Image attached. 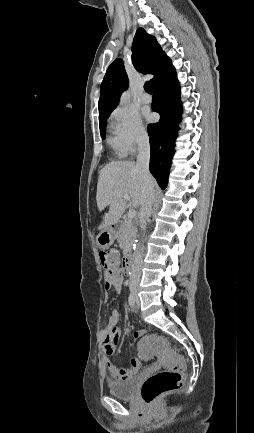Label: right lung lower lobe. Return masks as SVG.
Here are the masks:
<instances>
[{"label":"right lung lower lobe","instance_id":"obj_1","mask_svg":"<svg viewBox=\"0 0 254 433\" xmlns=\"http://www.w3.org/2000/svg\"><path fill=\"white\" fill-rule=\"evenodd\" d=\"M152 110L160 114V121L148 125L150 137V172L164 189L168 182L171 159L177 137V123L182 113L180 86L175 68L153 87Z\"/></svg>","mask_w":254,"mask_h":433}]
</instances>
